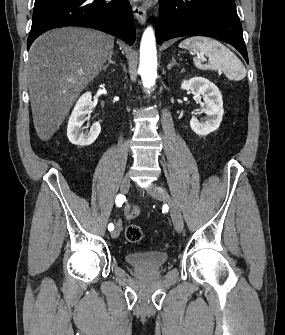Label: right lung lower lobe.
Here are the masks:
<instances>
[{
  "label": "right lung lower lobe",
  "mask_w": 285,
  "mask_h": 335,
  "mask_svg": "<svg viewBox=\"0 0 285 335\" xmlns=\"http://www.w3.org/2000/svg\"><path fill=\"white\" fill-rule=\"evenodd\" d=\"M66 26L98 29L128 44L135 41L133 13L128 0H35L27 49L44 32Z\"/></svg>",
  "instance_id": "obj_1"
}]
</instances>
